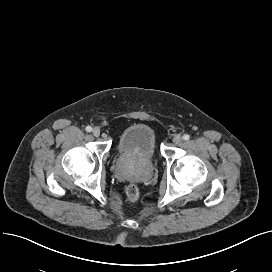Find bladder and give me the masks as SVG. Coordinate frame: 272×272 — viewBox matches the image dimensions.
<instances>
[{
  "mask_svg": "<svg viewBox=\"0 0 272 272\" xmlns=\"http://www.w3.org/2000/svg\"><path fill=\"white\" fill-rule=\"evenodd\" d=\"M121 155L151 160L157 150L156 131L145 123H136L127 127L117 142Z\"/></svg>",
  "mask_w": 272,
  "mask_h": 272,
  "instance_id": "1",
  "label": "bladder"
}]
</instances>
